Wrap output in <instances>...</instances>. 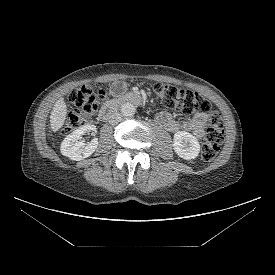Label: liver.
Returning a JSON list of instances; mask_svg holds the SVG:
<instances>
[{
	"label": "liver",
	"mask_w": 275,
	"mask_h": 275,
	"mask_svg": "<svg viewBox=\"0 0 275 275\" xmlns=\"http://www.w3.org/2000/svg\"><path fill=\"white\" fill-rule=\"evenodd\" d=\"M67 115V106L63 98L57 100L50 114V126L53 132H57L64 124Z\"/></svg>",
	"instance_id": "1"
}]
</instances>
